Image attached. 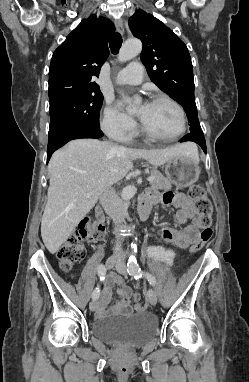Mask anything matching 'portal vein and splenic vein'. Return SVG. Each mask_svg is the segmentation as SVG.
Segmentation results:
<instances>
[{
    "mask_svg": "<svg viewBox=\"0 0 249 382\" xmlns=\"http://www.w3.org/2000/svg\"><path fill=\"white\" fill-rule=\"evenodd\" d=\"M153 180H154L153 177H148V178H147V181H150V182H151V181H153ZM90 196H91V193H88V194H87V197H90Z\"/></svg>",
    "mask_w": 249,
    "mask_h": 382,
    "instance_id": "obj_1",
    "label": "portal vein and splenic vein"
}]
</instances>
